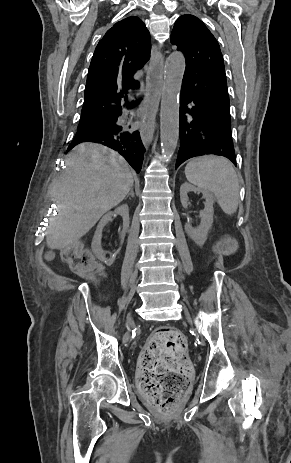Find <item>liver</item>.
Wrapping results in <instances>:
<instances>
[{"label":"liver","mask_w":291,"mask_h":463,"mask_svg":"<svg viewBox=\"0 0 291 463\" xmlns=\"http://www.w3.org/2000/svg\"><path fill=\"white\" fill-rule=\"evenodd\" d=\"M65 171L53 186L58 215L51 219L46 243L64 249L82 238L126 197L133 174L117 152L99 144L82 143L65 160Z\"/></svg>","instance_id":"liver-1"}]
</instances>
